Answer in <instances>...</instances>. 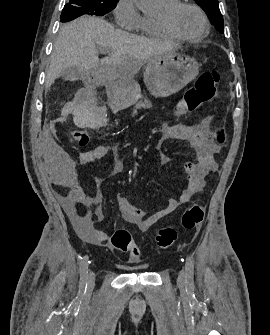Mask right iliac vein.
I'll return each instance as SVG.
<instances>
[{"mask_svg":"<svg viewBox=\"0 0 270 335\" xmlns=\"http://www.w3.org/2000/svg\"><path fill=\"white\" fill-rule=\"evenodd\" d=\"M87 283L89 288H92L95 284V274L92 271L88 275Z\"/></svg>","mask_w":270,"mask_h":335,"instance_id":"1","label":"right iliac vein"}]
</instances>
